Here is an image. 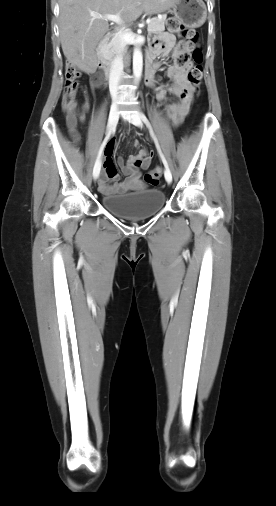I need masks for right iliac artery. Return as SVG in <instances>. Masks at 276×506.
<instances>
[{
	"label": "right iliac artery",
	"mask_w": 276,
	"mask_h": 506,
	"mask_svg": "<svg viewBox=\"0 0 276 506\" xmlns=\"http://www.w3.org/2000/svg\"><path fill=\"white\" fill-rule=\"evenodd\" d=\"M115 128H116V125L109 131V133L105 137V139H104V141H103V143H102V145H101V147L99 149L97 160H99V158H100V156H101V154H102V152H103V150H104V148H105V146H106V144H107V142H108V140L110 138V135H111V133H113L115 131ZM100 167H101V164L100 163L97 164V162H96L95 166H94V170H93V175L94 176H98L99 175V173H100ZM95 168L98 169L97 173L95 172Z\"/></svg>",
	"instance_id": "82829eb1"
}]
</instances>
